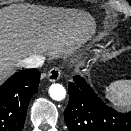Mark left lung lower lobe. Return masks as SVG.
<instances>
[{
    "label": "left lung lower lobe",
    "mask_w": 131,
    "mask_h": 131,
    "mask_svg": "<svg viewBox=\"0 0 131 131\" xmlns=\"http://www.w3.org/2000/svg\"><path fill=\"white\" fill-rule=\"evenodd\" d=\"M68 84L69 103L64 118L69 131H131V112L107 106L85 79L74 76Z\"/></svg>",
    "instance_id": "0a47b994"
}]
</instances>
